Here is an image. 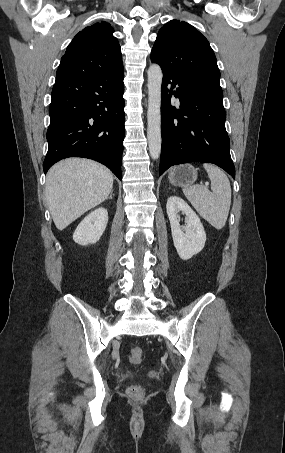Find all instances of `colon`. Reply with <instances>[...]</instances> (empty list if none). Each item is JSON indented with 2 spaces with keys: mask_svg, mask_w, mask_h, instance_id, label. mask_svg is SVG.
I'll use <instances>...</instances> for the list:
<instances>
[{
  "mask_svg": "<svg viewBox=\"0 0 285 453\" xmlns=\"http://www.w3.org/2000/svg\"><path fill=\"white\" fill-rule=\"evenodd\" d=\"M144 357V351L140 346H134L132 347L130 354H129V360L132 364L138 365L142 362ZM128 395L131 398L138 399L142 397L144 393V389L140 385H132L128 388L127 390Z\"/></svg>",
  "mask_w": 285,
  "mask_h": 453,
  "instance_id": "1",
  "label": "colon"
}]
</instances>
